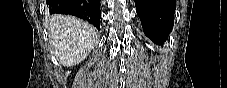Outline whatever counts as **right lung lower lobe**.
<instances>
[{"label": "right lung lower lobe", "mask_w": 227, "mask_h": 88, "mask_svg": "<svg viewBox=\"0 0 227 88\" xmlns=\"http://www.w3.org/2000/svg\"><path fill=\"white\" fill-rule=\"evenodd\" d=\"M49 12L75 15L100 28V0H47Z\"/></svg>", "instance_id": "obj_1"}]
</instances>
